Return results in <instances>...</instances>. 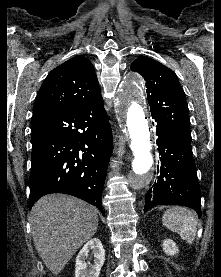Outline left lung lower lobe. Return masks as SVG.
<instances>
[{"instance_id":"obj_1","label":"left lung lower lobe","mask_w":221,"mask_h":277,"mask_svg":"<svg viewBox=\"0 0 221 277\" xmlns=\"http://www.w3.org/2000/svg\"><path fill=\"white\" fill-rule=\"evenodd\" d=\"M154 125V123H153ZM160 175L146 194L144 212L155 205H183L201 216V192L191 144L155 119Z\"/></svg>"}]
</instances>
